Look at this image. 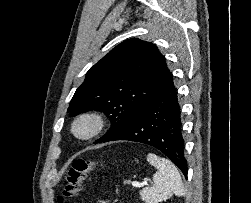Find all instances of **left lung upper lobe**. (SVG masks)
Segmentation results:
<instances>
[{"instance_id":"left-lung-upper-lobe-1","label":"left lung upper lobe","mask_w":251,"mask_h":203,"mask_svg":"<svg viewBox=\"0 0 251 203\" xmlns=\"http://www.w3.org/2000/svg\"><path fill=\"white\" fill-rule=\"evenodd\" d=\"M168 73L156 45L135 38L126 40L89 69L67 112L70 116L89 110L104 112L112 125L95 143L107 142L153 98Z\"/></svg>"}]
</instances>
